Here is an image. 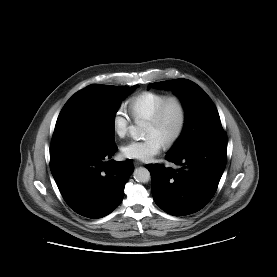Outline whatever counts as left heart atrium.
Here are the masks:
<instances>
[{
    "mask_svg": "<svg viewBox=\"0 0 277 277\" xmlns=\"http://www.w3.org/2000/svg\"><path fill=\"white\" fill-rule=\"evenodd\" d=\"M164 147L155 135H148L142 140H132L122 147L123 155L130 159L148 161Z\"/></svg>",
    "mask_w": 277,
    "mask_h": 277,
    "instance_id": "1",
    "label": "left heart atrium"
}]
</instances>
